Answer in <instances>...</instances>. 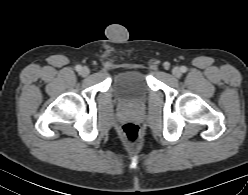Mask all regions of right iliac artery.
Returning a JSON list of instances; mask_svg holds the SVG:
<instances>
[{
	"label": "right iliac artery",
	"mask_w": 248,
	"mask_h": 195,
	"mask_svg": "<svg viewBox=\"0 0 248 195\" xmlns=\"http://www.w3.org/2000/svg\"><path fill=\"white\" fill-rule=\"evenodd\" d=\"M75 69H76V71H81V69H82V67L80 66V65H77L76 67H75Z\"/></svg>",
	"instance_id": "82829eb1"
}]
</instances>
